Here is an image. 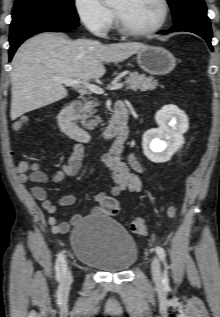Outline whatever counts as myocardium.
<instances>
[{"label": "myocardium", "instance_id": "obj_1", "mask_svg": "<svg viewBox=\"0 0 220 317\" xmlns=\"http://www.w3.org/2000/svg\"><path fill=\"white\" fill-rule=\"evenodd\" d=\"M159 2H160L161 7H162V16H161L159 22L156 25H154L153 27L148 28V29H144V30L132 29V28L128 27L127 25H125V23L119 17L117 12L115 10H113L116 28L122 34H124L126 36H130V37H143V36L152 35V34L158 32L166 24L168 17H169V13H170V5H169L168 0H159Z\"/></svg>", "mask_w": 220, "mask_h": 317}]
</instances>
